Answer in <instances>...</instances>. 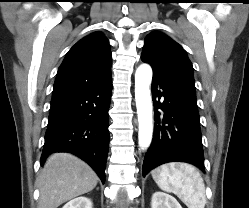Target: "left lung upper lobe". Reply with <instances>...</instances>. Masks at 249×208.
<instances>
[{"label":"left lung upper lobe","instance_id":"left-lung-upper-lobe-1","mask_svg":"<svg viewBox=\"0 0 249 208\" xmlns=\"http://www.w3.org/2000/svg\"><path fill=\"white\" fill-rule=\"evenodd\" d=\"M141 59L153 73L176 80L195 91L193 66L180 44L167 35L154 31L145 38Z\"/></svg>","mask_w":249,"mask_h":208}]
</instances>
